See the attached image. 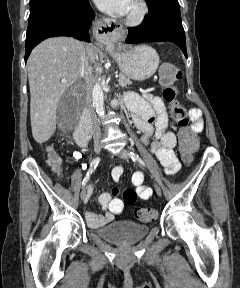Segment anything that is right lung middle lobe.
Masks as SVG:
<instances>
[{
	"label": "right lung middle lobe",
	"mask_w": 240,
	"mask_h": 288,
	"mask_svg": "<svg viewBox=\"0 0 240 288\" xmlns=\"http://www.w3.org/2000/svg\"><path fill=\"white\" fill-rule=\"evenodd\" d=\"M59 1H73V0H30V14H33L43 6L54 3V2H59Z\"/></svg>",
	"instance_id": "right-lung-middle-lobe-1"
}]
</instances>
